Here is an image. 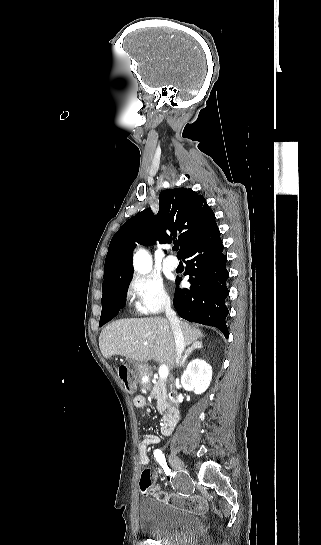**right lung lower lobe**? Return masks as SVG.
Returning a JSON list of instances; mask_svg holds the SVG:
<instances>
[{
	"label": "right lung lower lobe",
	"mask_w": 321,
	"mask_h": 545,
	"mask_svg": "<svg viewBox=\"0 0 321 545\" xmlns=\"http://www.w3.org/2000/svg\"><path fill=\"white\" fill-rule=\"evenodd\" d=\"M182 258L188 259L185 262V275L190 276L191 286L190 289H177L175 292L173 304L178 314L190 322L215 326L228 338L225 323L228 308L225 299L229 295L226 286L229 272L226 269L227 257L223 254L218 226L211 228L192 244ZM181 280L182 278L177 277V286ZM125 301L126 294L108 298L103 308L105 323L118 314Z\"/></svg>",
	"instance_id": "obj_1"
}]
</instances>
